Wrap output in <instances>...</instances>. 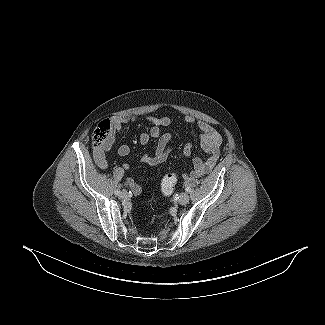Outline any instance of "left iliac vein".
Returning a JSON list of instances; mask_svg holds the SVG:
<instances>
[{
  "label": "left iliac vein",
  "mask_w": 325,
  "mask_h": 325,
  "mask_svg": "<svg viewBox=\"0 0 325 325\" xmlns=\"http://www.w3.org/2000/svg\"><path fill=\"white\" fill-rule=\"evenodd\" d=\"M178 202L181 205H186L189 202V196H188V194L187 193H181L180 196H179Z\"/></svg>",
  "instance_id": "1"
}]
</instances>
